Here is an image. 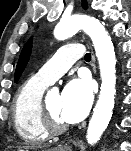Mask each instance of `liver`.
Masks as SVG:
<instances>
[{
  "label": "liver",
  "instance_id": "6515ba94",
  "mask_svg": "<svg viewBox=\"0 0 131 151\" xmlns=\"http://www.w3.org/2000/svg\"><path fill=\"white\" fill-rule=\"evenodd\" d=\"M36 148H41V146H38V147H36V146H32V147H23V148H19V149H26V150H28V149H36ZM20 151H23V150H20Z\"/></svg>",
  "mask_w": 131,
  "mask_h": 151
}]
</instances>
